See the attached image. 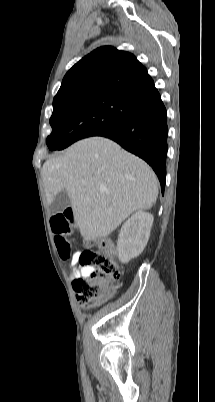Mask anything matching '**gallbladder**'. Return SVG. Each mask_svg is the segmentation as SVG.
<instances>
[{
    "mask_svg": "<svg viewBox=\"0 0 215 402\" xmlns=\"http://www.w3.org/2000/svg\"><path fill=\"white\" fill-rule=\"evenodd\" d=\"M71 200L69 195L65 190H62L57 194L53 202L50 204V212L52 214H57L62 212L70 206Z\"/></svg>",
    "mask_w": 215,
    "mask_h": 402,
    "instance_id": "bac80fb5",
    "label": "gallbladder"
}]
</instances>
